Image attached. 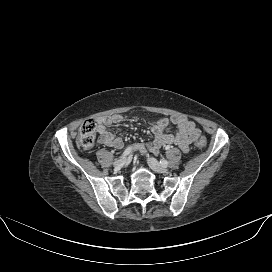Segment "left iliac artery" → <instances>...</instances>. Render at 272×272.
I'll list each match as a JSON object with an SVG mask.
<instances>
[{
	"instance_id": "obj_1",
	"label": "left iliac artery",
	"mask_w": 272,
	"mask_h": 272,
	"mask_svg": "<svg viewBox=\"0 0 272 272\" xmlns=\"http://www.w3.org/2000/svg\"><path fill=\"white\" fill-rule=\"evenodd\" d=\"M160 164L166 167L168 165V162L165 159H161Z\"/></svg>"
}]
</instances>
